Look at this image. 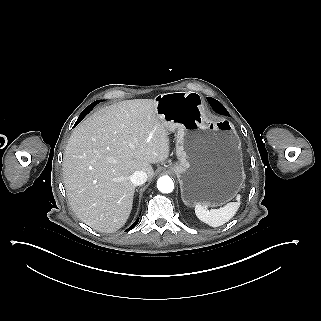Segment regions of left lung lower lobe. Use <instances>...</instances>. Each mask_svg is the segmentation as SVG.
<instances>
[{"instance_id":"1","label":"left lung lower lobe","mask_w":321,"mask_h":321,"mask_svg":"<svg viewBox=\"0 0 321 321\" xmlns=\"http://www.w3.org/2000/svg\"><path fill=\"white\" fill-rule=\"evenodd\" d=\"M208 100H209L210 104L213 106V108H214L216 111L219 112V110L216 108V106L213 104V102H212L210 99H208Z\"/></svg>"}]
</instances>
